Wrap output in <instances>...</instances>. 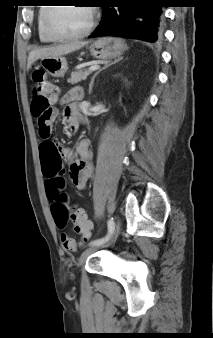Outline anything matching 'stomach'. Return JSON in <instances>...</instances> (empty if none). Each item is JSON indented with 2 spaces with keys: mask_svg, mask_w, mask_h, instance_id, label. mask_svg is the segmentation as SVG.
Wrapping results in <instances>:
<instances>
[{
  "mask_svg": "<svg viewBox=\"0 0 213 338\" xmlns=\"http://www.w3.org/2000/svg\"><path fill=\"white\" fill-rule=\"evenodd\" d=\"M88 49L91 56L96 59H113L120 57L125 49L126 44L120 38L102 37L89 43ZM40 65L45 71L53 77H63L66 73L67 61L64 57L41 58Z\"/></svg>",
  "mask_w": 213,
  "mask_h": 338,
  "instance_id": "0dacf381",
  "label": "stomach"
}]
</instances>
